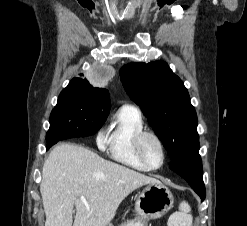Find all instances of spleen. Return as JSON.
I'll return each mask as SVG.
<instances>
[{"mask_svg": "<svg viewBox=\"0 0 247 226\" xmlns=\"http://www.w3.org/2000/svg\"><path fill=\"white\" fill-rule=\"evenodd\" d=\"M191 207L186 201L179 205V211L173 213L168 219V226H192Z\"/></svg>", "mask_w": 247, "mask_h": 226, "instance_id": "3e777b00", "label": "spleen"}]
</instances>
